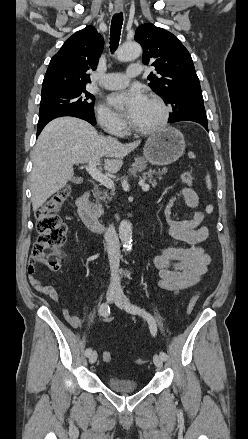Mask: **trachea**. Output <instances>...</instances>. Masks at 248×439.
I'll list each match as a JSON object with an SVG mask.
<instances>
[{"label": "trachea", "instance_id": "obj_1", "mask_svg": "<svg viewBox=\"0 0 248 439\" xmlns=\"http://www.w3.org/2000/svg\"><path fill=\"white\" fill-rule=\"evenodd\" d=\"M122 24H123L122 12L114 14L111 21V34H110L111 52H114L118 47Z\"/></svg>", "mask_w": 248, "mask_h": 439}]
</instances>
